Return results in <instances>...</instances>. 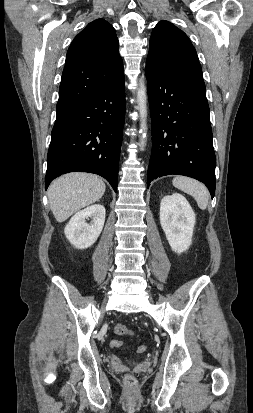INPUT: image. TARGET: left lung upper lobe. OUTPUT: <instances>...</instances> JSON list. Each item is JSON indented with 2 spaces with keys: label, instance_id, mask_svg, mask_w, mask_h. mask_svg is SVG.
Instances as JSON below:
<instances>
[{
  "label": "left lung upper lobe",
  "instance_id": "5c2ea615",
  "mask_svg": "<svg viewBox=\"0 0 253 413\" xmlns=\"http://www.w3.org/2000/svg\"><path fill=\"white\" fill-rule=\"evenodd\" d=\"M147 61L172 79L206 96L202 68L187 35L167 21L153 29Z\"/></svg>",
  "mask_w": 253,
  "mask_h": 413
}]
</instances>
